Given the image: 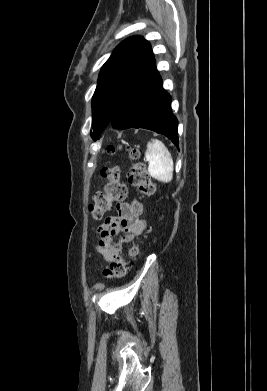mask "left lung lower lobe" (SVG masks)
I'll use <instances>...</instances> for the list:
<instances>
[{"instance_id":"1","label":"left lung lower lobe","mask_w":267,"mask_h":391,"mask_svg":"<svg viewBox=\"0 0 267 391\" xmlns=\"http://www.w3.org/2000/svg\"><path fill=\"white\" fill-rule=\"evenodd\" d=\"M171 96L163 89L156 67L145 75L118 106L110 124L114 128H145L163 134L178 148L177 118Z\"/></svg>"}]
</instances>
